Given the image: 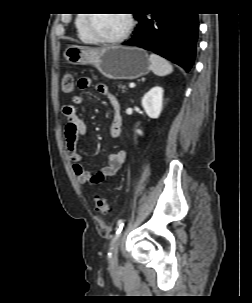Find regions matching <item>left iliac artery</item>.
<instances>
[{"mask_svg":"<svg viewBox=\"0 0 252 303\" xmlns=\"http://www.w3.org/2000/svg\"><path fill=\"white\" fill-rule=\"evenodd\" d=\"M123 226H124V221L122 219H120L118 221V223H117L116 234H115V236H114V238L112 240V243H114V241L119 237V235H120V233L122 231ZM110 256H111V253L109 252L108 253V257H110Z\"/></svg>","mask_w":252,"mask_h":303,"instance_id":"1","label":"left iliac artery"}]
</instances>
